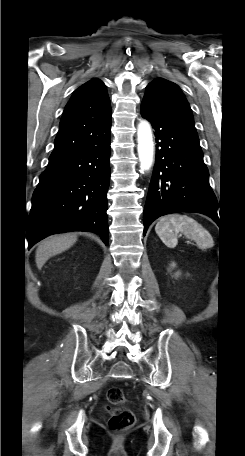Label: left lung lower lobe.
I'll return each instance as SVG.
<instances>
[{"mask_svg": "<svg viewBox=\"0 0 245 456\" xmlns=\"http://www.w3.org/2000/svg\"><path fill=\"white\" fill-rule=\"evenodd\" d=\"M141 115L155 128L156 162L144 208V235L158 217L196 212L217 222V199L195 126L142 102Z\"/></svg>", "mask_w": 245, "mask_h": 456, "instance_id": "obj_1", "label": "left lung lower lobe"}]
</instances>
